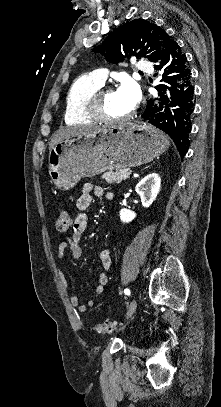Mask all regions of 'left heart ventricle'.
<instances>
[{
  "label": "left heart ventricle",
  "mask_w": 221,
  "mask_h": 407,
  "mask_svg": "<svg viewBox=\"0 0 221 407\" xmlns=\"http://www.w3.org/2000/svg\"><path fill=\"white\" fill-rule=\"evenodd\" d=\"M105 108L107 113L113 117H121L132 111L116 90L105 95Z\"/></svg>",
  "instance_id": "obj_1"
}]
</instances>
